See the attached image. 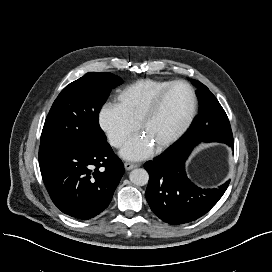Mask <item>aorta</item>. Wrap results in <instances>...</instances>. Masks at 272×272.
<instances>
[{
	"label": "aorta",
	"instance_id": "obj_1",
	"mask_svg": "<svg viewBox=\"0 0 272 272\" xmlns=\"http://www.w3.org/2000/svg\"><path fill=\"white\" fill-rule=\"evenodd\" d=\"M129 179L136 186H144L148 183L149 175L145 169L138 168L130 172Z\"/></svg>",
	"mask_w": 272,
	"mask_h": 272
}]
</instances>
